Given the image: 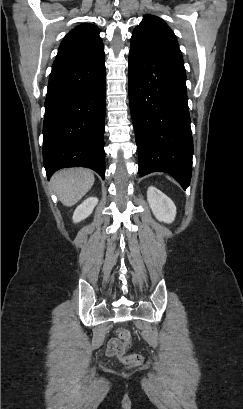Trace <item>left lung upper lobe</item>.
Segmentation results:
<instances>
[{"instance_id": "left-lung-upper-lobe-1", "label": "left lung upper lobe", "mask_w": 243, "mask_h": 409, "mask_svg": "<svg viewBox=\"0 0 243 409\" xmlns=\"http://www.w3.org/2000/svg\"><path fill=\"white\" fill-rule=\"evenodd\" d=\"M164 47L179 48L173 31L159 17L146 15L132 33L130 50L148 53Z\"/></svg>"}]
</instances>
